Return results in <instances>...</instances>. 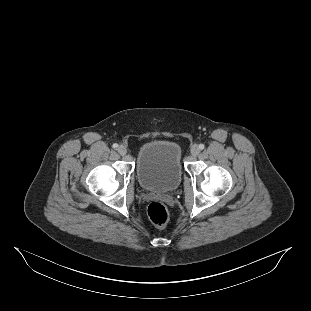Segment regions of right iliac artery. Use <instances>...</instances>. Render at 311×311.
<instances>
[{
	"label": "right iliac artery",
	"mask_w": 311,
	"mask_h": 311,
	"mask_svg": "<svg viewBox=\"0 0 311 311\" xmlns=\"http://www.w3.org/2000/svg\"><path fill=\"white\" fill-rule=\"evenodd\" d=\"M112 147H113L114 149H117V148H118V144H117V143H114V144L112 145Z\"/></svg>",
	"instance_id": "obj_1"
}]
</instances>
